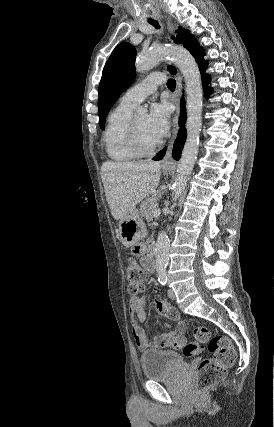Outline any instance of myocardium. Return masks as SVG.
<instances>
[{"label":"myocardium","mask_w":274,"mask_h":427,"mask_svg":"<svg viewBox=\"0 0 274 427\" xmlns=\"http://www.w3.org/2000/svg\"><path fill=\"white\" fill-rule=\"evenodd\" d=\"M128 140L132 152L135 156L140 158L153 156L162 147L161 141H159L156 145L149 149H144L142 147L135 119H132L131 121L128 133Z\"/></svg>","instance_id":"obj_1"}]
</instances>
